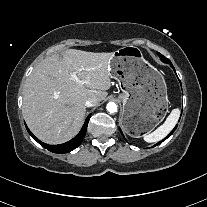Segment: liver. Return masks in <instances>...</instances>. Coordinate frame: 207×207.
I'll use <instances>...</instances> for the list:
<instances>
[{
	"mask_svg": "<svg viewBox=\"0 0 207 207\" xmlns=\"http://www.w3.org/2000/svg\"><path fill=\"white\" fill-rule=\"evenodd\" d=\"M112 53L66 50L37 65L23 91V115L43 142L60 144L77 132L88 99L100 102L112 82ZM86 68V69H85Z\"/></svg>",
	"mask_w": 207,
	"mask_h": 207,
	"instance_id": "6515ba94",
	"label": "liver"
}]
</instances>
